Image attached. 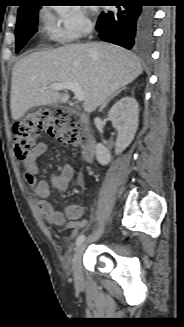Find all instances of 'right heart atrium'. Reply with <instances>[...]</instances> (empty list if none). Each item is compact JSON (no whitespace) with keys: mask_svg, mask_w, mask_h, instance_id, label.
<instances>
[{"mask_svg":"<svg viewBox=\"0 0 184 327\" xmlns=\"http://www.w3.org/2000/svg\"><path fill=\"white\" fill-rule=\"evenodd\" d=\"M45 24L50 37L62 44L86 37L93 28L86 12L78 5L59 7L55 14L45 17Z\"/></svg>","mask_w":184,"mask_h":327,"instance_id":"1","label":"right heart atrium"}]
</instances>
